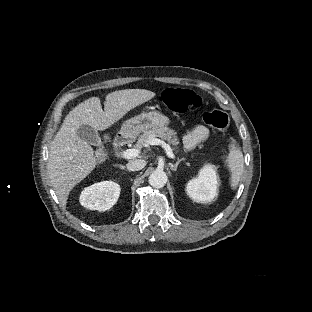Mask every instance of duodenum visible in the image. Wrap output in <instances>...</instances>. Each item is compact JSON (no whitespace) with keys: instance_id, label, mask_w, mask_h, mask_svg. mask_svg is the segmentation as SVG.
Wrapping results in <instances>:
<instances>
[{"instance_id":"obj_1","label":"duodenum","mask_w":312,"mask_h":312,"mask_svg":"<svg viewBox=\"0 0 312 312\" xmlns=\"http://www.w3.org/2000/svg\"><path fill=\"white\" fill-rule=\"evenodd\" d=\"M134 138L131 131H123L119 133L115 139V145L118 155L121 157L124 147Z\"/></svg>"}]
</instances>
